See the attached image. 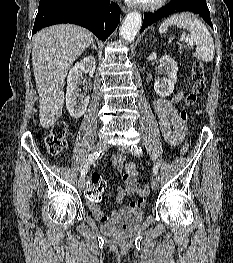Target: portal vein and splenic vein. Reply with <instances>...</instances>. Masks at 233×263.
<instances>
[{
	"label": "portal vein and splenic vein",
	"mask_w": 233,
	"mask_h": 263,
	"mask_svg": "<svg viewBox=\"0 0 233 263\" xmlns=\"http://www.w3.org/2000/svg\"><path fill=\"white\" fill-rule=\"evenodd\" d=\"M180 41H187L188 42V39L185 37V35H182L180 38ZM189 42H191V41L189 40Z\"/></svg>",
	"instance_id": "portal-vein-and-splenic-vein-1"
}]
</instances>
